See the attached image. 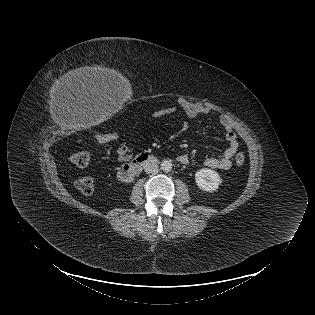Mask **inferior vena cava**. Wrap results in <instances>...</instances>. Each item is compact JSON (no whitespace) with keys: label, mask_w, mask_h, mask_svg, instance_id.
<instances>
[{"label":"inferior vena cava","mask_w":315,"mask_h":315,"mask_svg":"<svg viewBox=\"0 0 315 315\" xmlns=\"http://www.w3.org/2000/svg\"><path fill=\"white\" fill-rule=\"evenodd\" d=\"M144 171L147 174L158 172V164H157V162L154 161V160L147 161L144 164Z\"/></svg>","instance_id":"inferior-vena-cava-1"}]
</instances>
